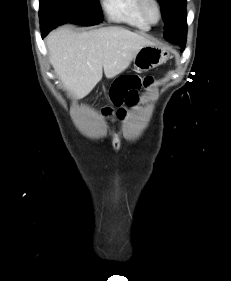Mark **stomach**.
<instances>
[{
	"label": "stomach",
	"mask_w": 231,
	"mask_h": 281,
	"mask_svg": "<svg viewBox=\"0 0 231 281\" xmlns=\"http://www.w3.org/2000/svg\"><path fill=\"white\" fill-rule=\"evenodd\" d=\"M169 53L164 48L155 45H147L141 48L133 58L136 71H148L165 63Z\"/></svg>",
	"instance_id": "obj_1"
}]
</instances>
